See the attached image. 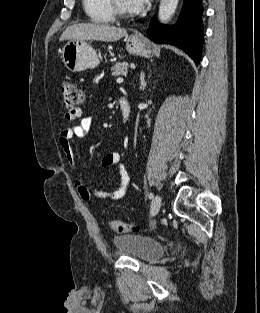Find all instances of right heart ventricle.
<instances>
[{"mask_svg": "<svg viewBox=\"0 0 260 313\" xmlns=\"http://www.w3.org/2000/svg\"><path fill=\"white\" fill-rule=\"evenodd\" d=\"M83 8L87 16L97 23H111L113 14L110 10L108 0H82Z\"/></svg>", "mask_w": 260, "mask_h": 313, "instance_id": "right-heart-ventricle-1", "label": "right heart ventricle"}]
</instances>
